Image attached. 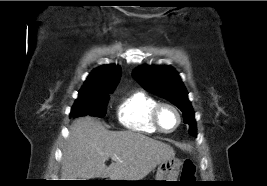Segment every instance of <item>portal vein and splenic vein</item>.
Returning a JSON list of instances; mask_svg holds the SVG:
<instances>
[{
    "label": "portal vein and splenic vein",
    "mask_w": 267,
    "mask_h": 186,
    "mask_svg": "<svg viewBox=\"0 0 267 186\" xmlns=\"http://www.w3.org/2000/svg\"><path fill=\"white\" fill-rule=\"evenodd\" d=\"M113 159H118L117 157H113Z\"/></svg>",
    "instance_id": "1"
}]
</instances>
